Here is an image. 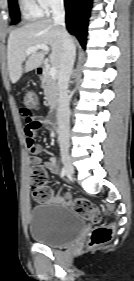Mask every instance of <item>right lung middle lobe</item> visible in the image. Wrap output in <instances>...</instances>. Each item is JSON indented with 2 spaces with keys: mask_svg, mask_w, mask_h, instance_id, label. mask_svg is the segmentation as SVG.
I'll return each mask as SVG.
<instances>
[{
  "mask_svg": "<svg viewBox=\"0 0 134 281\" xmlns=\"http://www.w3.org/2000/svg\"><path fill=\"white\" fill-rule=\"evenodd\" d=\"M10 16L12 19V24H16L20 21L19 8L17 5V0H9Z\"/></svg>",
  "mask_w": 134,
  "mask_h": 281,
  "instance_id": "obj_1",
  "label": "right lung middle lobe"
}]
</instances>
